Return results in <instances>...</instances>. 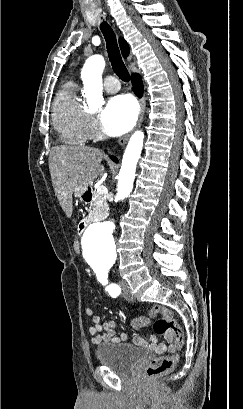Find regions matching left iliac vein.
<instances>
[{
    "label": "left iliac vein",
    "mask_w": 243,
    "mask_h": 409,
    "mask_svg": "<svg viewBox=\"0 0 243 409\" xmlns=\"http://www.w3.org/2000/svg\"><path fill=\"white\" fill-rule=\"evenodd\" d=\"M119 285L121 287L123 297L128 301H134V297L131 293L128 283L125 280H121L119 282Z\"/></svg>",
    "instance_id": "4c4485c4"
}]
</instances>
